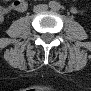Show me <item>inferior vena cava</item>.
<instances>
[{
  "label": "inferior vena cava",
  "instance_id": "inferior-vena-cava-1",
  "mask_svg": "<svg viewBox=\"0 0 91 91\" xmlns=\"http://www.w3.org/2000/svg\"><path fill=\"white\" fill-rule=\"evenodd\" d=\"M48 9V6L46 4H40V5H36L34 6V12H42V11H46Z\"/></svg>",
  "mask_w": 91,
  "mask_h": 91
}]
</instances>
